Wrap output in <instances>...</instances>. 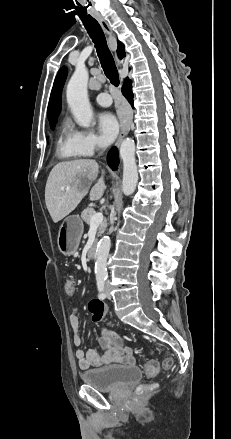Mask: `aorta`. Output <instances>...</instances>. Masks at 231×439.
<instances>
[{"label":"aorta","instance_id":"762f6f07","mask_svg":"<svg viewBox=\"0 0 231 439\" xmlns=\"http://www.w3.org/2000/svg\"><path fill=\"white\" fill-rule=\"evenodd\" d=\"M89 73L83 66H77L66 91L67 103L76 122L83 127H89L92 121V109L88 100L87 85ZM120 156L123 161L122 191L129 196L134 193L138 182V171L135 159V143L133 139H125L120 146ZM111 239L103 237L96 249L95 275L96 278H106L107 259Z\"/></svg>","mask_w":231,"mask_h":439}]
</instances>
